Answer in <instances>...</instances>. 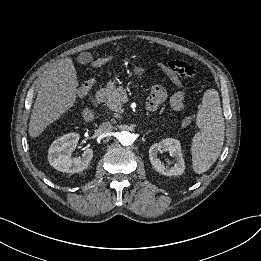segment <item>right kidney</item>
Listing matches in <instances>:
<instances>
[{"mask_svg":"<svg viewBox=\"0 0 261 261\" xmlns=\"http://www.w3.org/2000/svg\"><path fill=\"white\" fill-rule=\"evenodd\" d=\"M79 138L77 133H68L55 140L48 151L50 165L65 173H78L86 169L93 157L90 148H85L81 157L71 158Z\"/></svg>","mask_w":261,"mask_h":261,"instance_id":"1","label":"right kidney"}]
</instances>
